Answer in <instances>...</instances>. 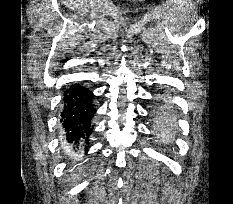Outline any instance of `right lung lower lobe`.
<instances>
[{"label": "right lung lower lobe", "instance_id": "98d812e1", "mask_svg": "<svg viewBox=\"0 0 233 204\" xmlns=\"http://www.w3.org/2000/svg\"><path fill=\"white\" fill-rule=\"evenodd\" d=\"M94 95L85 87L72 85L64 93L61 123L68 143L77 146L79 142L88 144L93 131L92 119L95 108L92 104ZM87 148L85 151L87 152Z\"/></svg>", "mask_w": 233, "mask_h": 204}]
</instances>
